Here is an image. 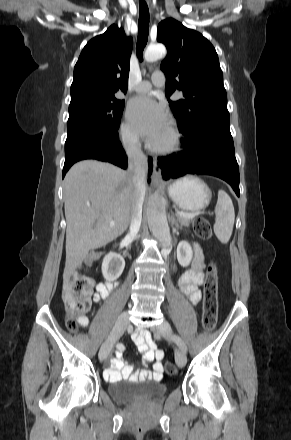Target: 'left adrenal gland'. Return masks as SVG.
I'll return each mask as SVG.
<instances>
[{
    "label": "left adrenal gland",
    "instance_id": "obj_1",
    "mask_svg": "<svg viewBox=\"0 0 291 440\" xmlns=\"http://www.w3.org/2000/svg\"><path fill=\"white\" fill-rule=\"evenodd\" d=\"M171 223L173 225H175L176 227H179V224H178L177 220L175 219L174 215H172V217H171Z\"/></svg>",
    "mask_w": 291,
    "mask_h": 440
}]
</instances>
